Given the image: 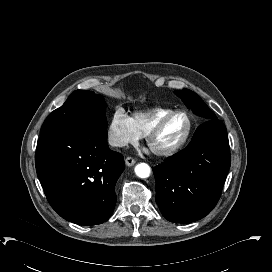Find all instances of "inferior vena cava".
<instances>
[{
    "instance_id": "inferior-vena-cava-1",
    "label": "inferior vena cava",
    "mask_w": 272,
    "mask_h": 272,
    "mask_svg": "<svg viewBox=\"0 0 272 272\" xmlns=\"http://www.w3.org/2000/svg\"><path fill=\"white\" fill-rule=\"evenodd\" d=\"M108 143L113 147H123L126 145V142L116 135H110L108 138Z\"/></svg>"
}]
</instances>
